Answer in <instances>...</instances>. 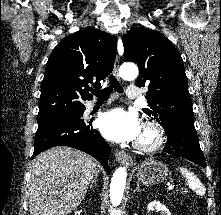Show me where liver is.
<instances>
[{"label": "liver", "mask_w": 221, "mask_h": 215, "mask_svg": "<svg viewBox=\"0 0 221 215\" xmlns=\"http://www.w3.org/2000/svg\"><path fill=\"white\" fill-rule=\"evenodd\" d=\"M98 173L97 160L80 150L56 146L40 153L30 169V215H68Z\"/></svg>", "instance_id": "obj_1"}]
</instances>
